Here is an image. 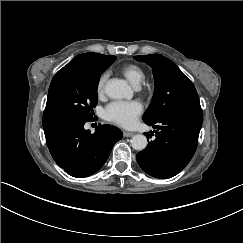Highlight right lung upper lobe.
Instances as JSON below:
<instances>
[{
  "label": "right lung upper lobe",
  "instance_id": "obj_1",
  "mask_svg": "<svg viewBox=\"0 0 243 243\" xmlns=\"http://www.w3.org/2000/svg\"><path fill=\"white\" fill-rule=\"evenodd\" d=\"M110 56L98 53H84L77 55L67 65H65L57 73L74 70V69H85L92 70L98 69Z\"/></svg>",
  "mask_w": 243,
  "mask_h": 243
}]
</instances>
